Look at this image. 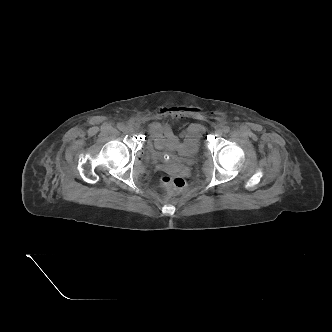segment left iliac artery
I'll use <instances>...</instances> for the list:
<instances>
[{"label":"left iliac artery","instance_id":"obj_1","mask_svg":"<svg viewBox=\"0 0 332 332\" xmlns=\"http://www.w3.org/2000/svg\"><path fill=\"white\" fill-rule=\"evenodd\" d=\"M223 131H224V133H228L230 131V127L229 126H225L223 128Z\"/></svg>","mask_w":332,"mask_h":332}]
</instances>
